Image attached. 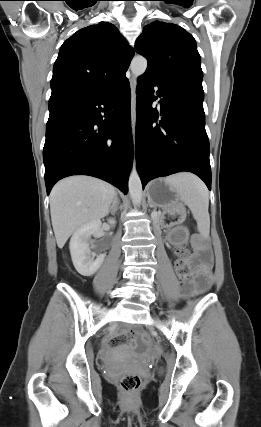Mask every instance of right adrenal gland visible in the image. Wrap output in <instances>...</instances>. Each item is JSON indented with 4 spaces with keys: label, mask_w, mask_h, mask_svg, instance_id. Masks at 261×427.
<instances>
[{
    "label": "right adrenal gland",
    "mask_w": 261,
    "mask_h": 427,
    "mask_svg": "<svg viewBox=\"0 0 261 427\" xmlns=\"http://www.w3.org/2000/svg\"><path fill=\"white\" fill-rule=\"evenodd\" d=\"M118 205H119V198H118V196H117V194L115 195V197H114V200H113V202H112V205H111V207L109 208V211H108V213L107 214H109V213H111L112 215H115V213L117 212V210H118Z\"/></svg>",
    "instance_id": "obj_1"
}]
</instances>
